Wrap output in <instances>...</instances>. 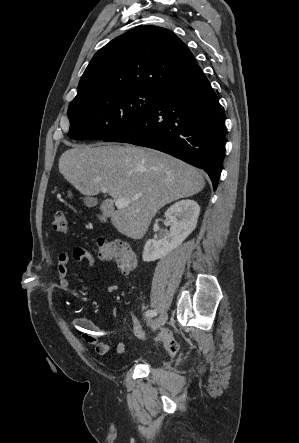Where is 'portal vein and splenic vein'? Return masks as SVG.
I'll use <instances>...</instances> for the list:
<instances>
[{
    "label": "portal vein and splenic vein",
    "instance_id": "1",
    "mask_svg": "<svg viewBox=\"0 0 299 443\" xmlns=\"http://www.w3.org/2000/svg\"><path fill=\"white\" fill-rule=\"evenodd\" d=\"M101 191H102L103 193H107V192H108L107 189H105V188H101ZM129 203H130V200H129V199L119 198V199H117V200L115 201V206H116L118 209H122V208L127 207V206L129 205Z\"/></svg>",
    "mask_w": 299,
    "mask_h": 443
}]
</instances>
